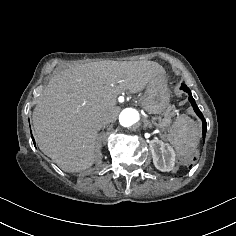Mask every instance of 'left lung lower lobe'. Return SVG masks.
I'll list each match as a JSON object with an SVG mask.
<instances>
[{
	"instance_id": "left-lung-lower-lobe-1",
	"label": "left lung lower lobe",
	"mask_w": 236,
	"mask_h": 236,
	"mask_svg": "<svg viewBox=\"0 0 236 236\" xmlns=\"http://www.w3.org/2000/svg\"><path fill=\"white\" fill-rule=\"evenodd\" d=\"M181 89H183L185 92H187L189 94V101L192 104V106L194 108V111L196 112V114L199 116V118L203 122V139H205V135H206V131H207L206 120L204 119V117H203L201 111L199 110V108L197 107V105L195 103V100L192 97L190 89L185 84L181 85Z\"/></svg>"
}]
</instances>
